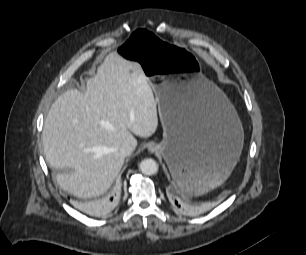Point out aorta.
<instances>
[{
  "mask_svg": "<svg viewBox=\"0 0 306 255\" xmlns=\"http://www.w3.org/2000/svg\"><path fill=\"white\" fill-rule=\"evenodd\" d=\"M139 169L145 175H154L158 172V164L154 159L147 158L140 162Z\"/></svg>",
  "mask_w": 306,
  "mask_h": 255,
  "instance_id": "1",
  "label": "aorta"
}]
</instances>
